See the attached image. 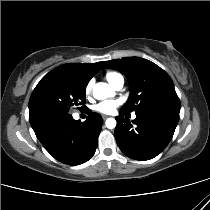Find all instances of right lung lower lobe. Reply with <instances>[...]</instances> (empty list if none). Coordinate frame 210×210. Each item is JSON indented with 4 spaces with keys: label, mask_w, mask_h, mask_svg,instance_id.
I'll return each mask as SVG.
<instances>
[{
    "label": "right lung lower lobe",
    "mask_w": 210,
    "mask_h": 210,
    "mask_svg": "<svg viewBox=\"0 0 210 210\" xmlns=\"http://www.w3.org/2000/svg\"><path fill=\"white\" fill-rule=\"evenodd\" d=\"M103 119L98 113H89L84 122L72 115H54L31 124L38 140L58 161L79 165L95 153Z\"/></svg>",
    "instance_id": "obj_1"
}]
</instances>
